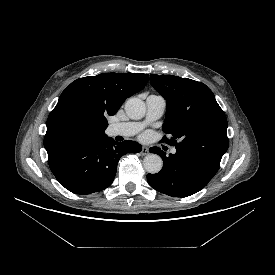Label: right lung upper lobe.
Segmentation results:
<instances>
[{
  "label": "right lung upper lobe",
  "instance_id": "cb5924a9",
  "mask_svg": "<svg viewBox=\"0 0 275 275\" xmlns=\"http://www.w3.org/2000/svg\"><path fill=\"white\" fill-rule=\"evenodd\" d=\"M148 79L149 75L142 73H103L72 82L47 119L46 151L107 137L106 117L115 115Z\"/></svg>",
  "mask_w": 275,
  "mask_h": 275
}]
</instances>
